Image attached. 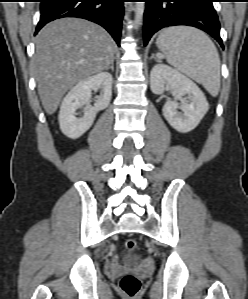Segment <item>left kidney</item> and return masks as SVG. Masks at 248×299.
<instances>
[{
    "instance_id": "5707ae66",
    "label": "left kidney",
    "mask_w": 248,
    "mask_h": 299,
    "mask_svg": "<svg viewBox=\"0 0 248 299\" xmlns=\"http://www.w3.org/2000/svg\"><path fill=\"white\" fill-rule=\"evenodd\" d=\"M150 87L154 94H163L170 88L174 94L187 96L183 104L168 100L162 109L165 119L178 132L192 131L209 109L201 89L191 79L167 65L158 64L152 68ZM178 109L183 113H179Z\"/></svg>"
}]
</instances>
